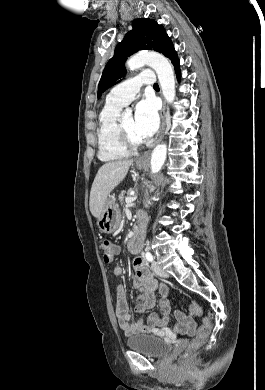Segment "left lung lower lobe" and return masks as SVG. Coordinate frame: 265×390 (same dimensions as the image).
Segmentation results:
<instances>
[{
    "label": "left lung lower lobe",
    "mask_w": 265,
    "mask_h": 390,
    "mask_svg": "<svg viewBox=\"0 0 265 390\" xmlns=\"http://www.w3.org/2000/svg\"><path fill=\"white\" fill-rule=\"evenodd\" d=\"M172 64L174 66V69H175V72H176V75H177V79L180 80V62H179V59L177 57V55L172 59Z\"/></svg>",
    "instance_id": "left-lung-lower-lobe-1"
}]
</instances>
